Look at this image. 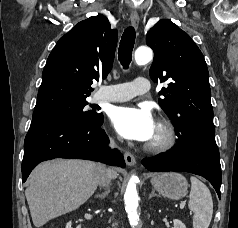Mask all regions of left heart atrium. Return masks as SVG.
I'll list each match as a JSON object with an SVG mask.
<instances>
[{"label": "left heart atrium", "instance_id": "left-heart-atrium-1", "mask_svg": "<svg viewBox=\"0 0 238 228\" xmlns=\"http://www.w3.org/2000/svg\"><path fill=\"white\" fill-rule=\"evenodd\" d=\"M110 119L119 135L129 140L149 141L156 130L154 118L146 108L115 107L110 114Z\"/></svg>", "mask_w": 238, "mask_h": 228}]
</instances>
